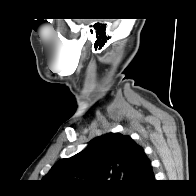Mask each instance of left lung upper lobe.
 I'll list each match as a JSON object with an SVG mask.
<instances>
[{
	"label": "left lung upper lobe",
	"instance_id": "obj_1",
	"mask_svg": "<svg viewBox=\"0 0 196 196\" xmlns=\"http://www.w3.org/2000/svg\"><path fill=\"white\" fill-rule=\"evenodd\" d=\"M149 164L144 149L130 136L108 133L91 140L78 154L59 160L43 179L57 187L134 188Z\"/></svg>",
	"mask_w": 196,
	"mask_h": 196
}]
</instances>
